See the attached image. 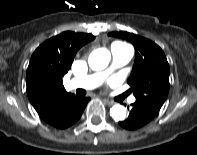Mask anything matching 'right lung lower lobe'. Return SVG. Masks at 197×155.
Instances as JSON below:
<instances>
[{
	"mask_svg": "<svg viewBox=\"0 0 197 155\" xmlns=\"http://www.w3.org/2000/svg\"><path fill=\"white\" fill-rule=\"evenodd\" d=\"M88 101L89 98L74 95L62 107L58 115L48 124L59 129L70 127L81 117Z\"/></svg>",
	"mask_w": 197,
	"mask_h": 155,
	"instance_id": "98d812e1",
	"label": "right lung lower lobe"
}]
</instances>
